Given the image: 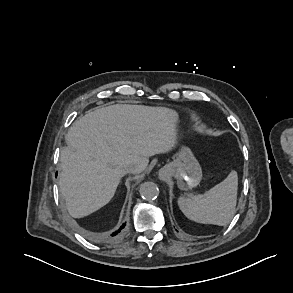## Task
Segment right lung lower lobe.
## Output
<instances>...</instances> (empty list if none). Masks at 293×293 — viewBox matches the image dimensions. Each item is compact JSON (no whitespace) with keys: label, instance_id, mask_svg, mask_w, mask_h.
I'll return each instance as SVG.
<instances>
[{"label":"right lung lower lobe","instance_id":"right-lung-lower-lobe-1","mask_svg":"<svg viewBox=\"0 0 293 293\" xmlns=\"http://www.w3.org/2000/svg\"><path fill=\"white\" fill-rule=\"evenodd\" d=\"M126 223H124L117 231L113 232L111 234L112 237H114L115 235H117L118 233L121 232V230L125 227Z\"/></svg>","mask_w":293,"mask_h":293}]
</instances>
